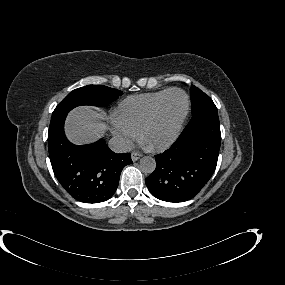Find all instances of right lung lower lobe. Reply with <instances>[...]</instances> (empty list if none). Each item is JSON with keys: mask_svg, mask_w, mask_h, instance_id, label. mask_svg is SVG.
I'll use <instances>...</instances> for the list:
<instances>
[{"mask_svg": "<svg viewBox=\"0 0 285 285\" xmlns=\"http://www.w3.org/2000/svg\"><path fill=\"white\" fill-rule=\"evenodd\" d=\"M67 114L51 120L48 148L55 176L63 188L76 200L99 203L115 193L120 173L131 164V154H116L103 139L89 144H71L64 134Z\"/></svg>", "mask_w": 285, "mask_h": 285, "instance_id": "obj_1", "label": "right lung lower lobe"}]
</instances>
